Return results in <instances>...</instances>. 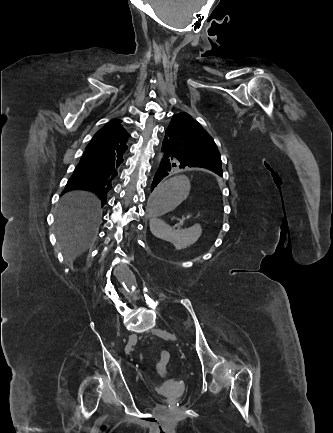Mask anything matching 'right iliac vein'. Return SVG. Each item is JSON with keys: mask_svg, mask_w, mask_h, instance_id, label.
<instances>
[{"mask_svg": "<svg viewBox=\"0 0 333 433\" xmlns=\"http://www.w3.org/2000/svg\"><path fill=\"white\" fill-rule=\"evenodd\" d=\"M136 341H137V335L134 333L130 334L129 339H128V343L126 345V348H128V352H126V353L129 354L131 352L132 346L135 345Z\"/></svg>", "mask_w": 333, "mask_h": 433, "instance_id": "63e3f726", "label": "right iliac vein"}]
</instances>
